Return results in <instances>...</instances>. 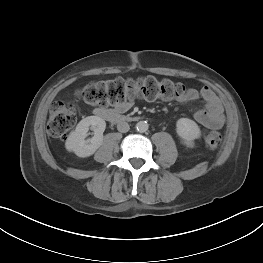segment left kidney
I'll use <instances>...</instances> for the list:
<instances>
[{"instance_id": "5707ae66", "label": "left kidney", "mask_w": 263, "mask_h": 263, "mask_svg": "<svg viewBox=\"0 0 263 263\" xmlns=\"http://www.w3.org/2000/svg\"><path fill=\"white\" fill-rule=\"evenodd\" d=\"M176 132L184 140V143L191 147L194 145V140L201 135L200 128L191 119L180 118L176 123Z\"/></svg>"}]
</instances>
